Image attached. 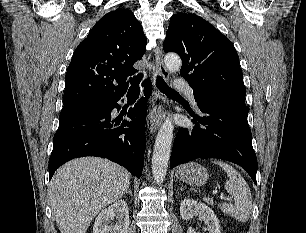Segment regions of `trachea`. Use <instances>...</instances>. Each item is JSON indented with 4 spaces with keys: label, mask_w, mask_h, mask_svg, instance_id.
<instances>
[{
    "label": "trachea",
    "mask_w": 306,
    "mask_h": 233,
    "mask_svg": "<svg viewBox=\"0 0 306 233\" xmlns=\"http://www.w3.org/2000/svg\"><path fill=\"white\" fill-rule=\"evenodd\" d=\"M143 77V74L140 73L138 76L134 77L133 79L130 80L131 82V87L129 89V92H139L140 88H139V82L141 81ZM156 86L158 87V89L167 94V95H178V92H176L175 90L171 89L163 80V78H161L160 76L157 77L156 79Z\"/></svg>",
    "instance_id": "trachea-1"
}]
</instances>
